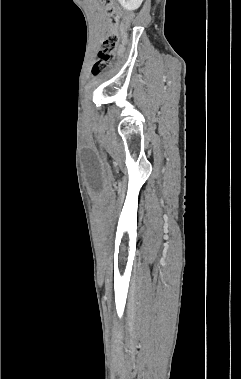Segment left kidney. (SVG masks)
Returning a JSON list of instances; mask_svg holds the SVG:
<instances>
[{"mask_svg": "<svg viewBox=\"0 0 241 379\" xmlns=\"http://www.w3.org/2000/svg\"><path fill=\"white\" fill-rule=\"evenodd\" d=\"M118 1L121 4V6L128 11H133V10L138 9L143 2V0H118Z\"/></svg>", "mask_w": 241, "mask_h": 379, "instance_id": "left-kidney-1", "label": "left kidney"}]
</instances>
